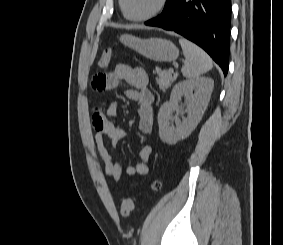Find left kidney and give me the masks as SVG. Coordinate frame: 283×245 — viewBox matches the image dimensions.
I'll use <instances>...</instances> for the list:
<instances>
[{
  "mask_svg": "<svg viewBox=\"0 0 283 245\" xmlns=\"http://www.w3.org/2000/svg\"><path fill=\"white\" fill-rule=\"evenodd\" d=\"M214 81L208 77L190 79L176 84L171 92L169 102L164 103L158 113L159 136L169 145L187 138L200 122L211 97ZM187 97V117L181 122L172 117V112L178 109L181 96ZM175 121L176 126H171Z\"/></svg>",
  "mask_w": 283,
  "mask_h": 245,
  "instance_id": "5707ae66",
  "label": "left kidney"
}]
</instances>
